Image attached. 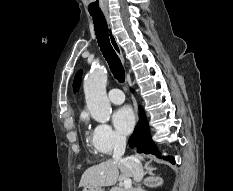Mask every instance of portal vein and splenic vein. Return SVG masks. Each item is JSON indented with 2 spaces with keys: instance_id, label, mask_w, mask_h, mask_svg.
<instances>
[{
  "instance_id": "1",
  "label": "portal vein and splenic vein",
  "mask_w": 233,
  "mask_h": 191,
  "mask_svg": "<svg viewBox=\"0 0 233 191\" xmlns=\"http://www.w3.org/2000/svg\"><path fill=\"white\" fill-rule=\"evenodd\" d=\"M131 186H132V181H131V179H125L124 180V189L125 190H127V189H129V188H131Z\"/></svg>"
}]
</instances>
